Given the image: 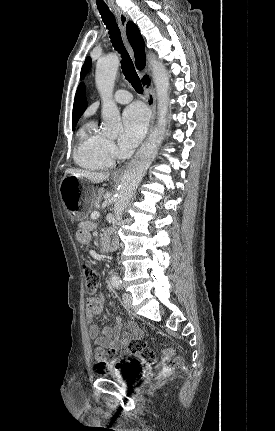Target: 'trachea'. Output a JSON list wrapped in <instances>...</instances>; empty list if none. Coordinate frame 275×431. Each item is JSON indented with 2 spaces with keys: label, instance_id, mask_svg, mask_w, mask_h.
<instances>
[{
  "label": "trachea",
  "instance_id": "1",
  "mask_svg": "<svg viewBox=\"0 0 275 431\" xmlns=\"http://www.w3.org/2000/svg\"><path fill=\"white\" fill-rule=\"evenodd\" d=\"M98 10L100 12L101 18L106 25L107 29L109 30V37L111 39V43L116 51L120 53L121 55V68L123 71V74L128 80L129 83L133 86L135 91L139 94L143 93V87L141 85L140 78L135 70L134 64L132 62V59L130 58L127 50L124 47L120 30L118 28V25L115 21V17L113 13L108 8H101L98 7Z\"/></svg>",
  "mask_w": 275,
  "mask_h": 431
}]
</instances>
